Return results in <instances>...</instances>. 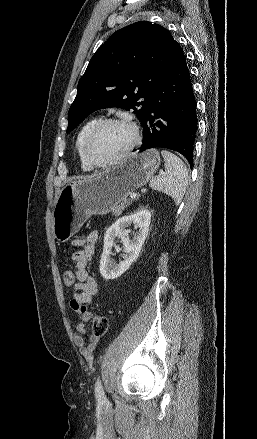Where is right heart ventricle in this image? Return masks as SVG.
Returning <instances> with one entry per match:
<instances>
[{
  "label": "right heart ventricle",
  "instance_id": "e07e8e85",
  "mask_svg": "<svg viewBox=\"0 0 257 439\" xmlns=\"http://www.w3.org/2000/svg\"><path fill=\"white\" fill-rule=\"evenodd\" d=\"M98 122L97 119L93 118L85 122L80 130L78 131L77 137H76V143L75 147L78 153V157L80 160L81 167L84 171H91L93 167L90 165V163L87 161L85 155H84V141L89 133V131L92 129V127Z\"/></svg>",
  "mask_w": 257,
  "mask_h": 439
}]
</instances>
